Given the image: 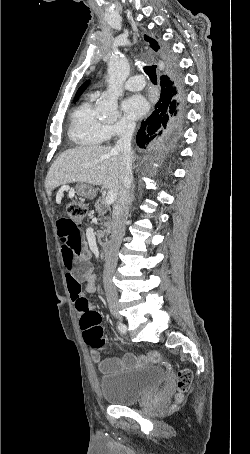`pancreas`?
Returning <instances> with one entry per match:
<instances>
[{"instance_id": "obj_1", "label": "pancreas", "mask_w": 250, "mask_h": 454, "mask_svg": "<svg viewBox=\"0 0 250 454\" xmlns=\"http://www.w3.org/2000/svg\"><path fill=\"white\" fill-rule=\"evenodd\" d=\"M95 210L98 212L99 215L104 216L110 210V207L109 205L106 204L105 199L100 198L95 203ZM110 222H111L110 217L107 216L102 217L101 221L102 230L97 233L99 240H101L102 238H107L108 235L110 234L111 232Z\"/></svg>"}]
</instances>
